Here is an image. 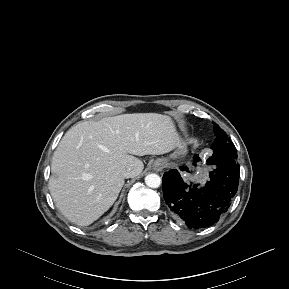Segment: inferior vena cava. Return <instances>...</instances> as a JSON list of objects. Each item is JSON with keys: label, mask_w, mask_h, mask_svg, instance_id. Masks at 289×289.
<instances>
[{"label": "inferior vena cava", "mask_w": 289, "mask_h": 289, "mask_svg": "<svg viewBox=\"0 0 289 289\" xmlns=\"http://www.w3.org/2000/svg\"><path fill=\"white\" fill-rule=\"evenodd\" d=\"M121 176H122L123 178H130V177L132 176V171H131V169L129 168V169L123 170V171L121 172Z\"/></svg>", "instance_id": "obj_1"}]
</instances>
